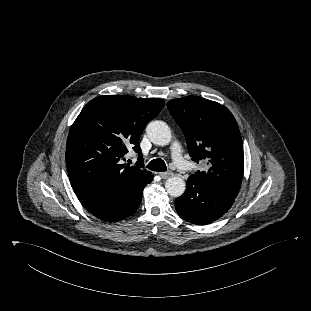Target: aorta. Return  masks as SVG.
<instances>
[{"instance_id":"762f6f07","label":"aorta","mask_w":311,"mask_h":311,"mask_svg":"<svg viewBox=\"0 0 311 311\" xmlns=\"http://www.w3.org/2000/svg\"><path fill=\"white\" fill-rule=\"evenodd\" d=\"M146 133L150 141L159 146H165L171 142V130L163 121H151L146 127ZM165 189L172 197H180L186 189L184 180L173 176L165 181Z\"/></svg>"}]
</instances>
